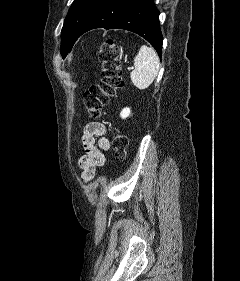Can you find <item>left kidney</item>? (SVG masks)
<instances>
[{
  "label": "left kidney",
  "instance_id": "1",
  "mask_svg": "<svg viewBox=\"0 0 240 281\" xmlns=\"http://www.w3.org/2000/svg\"><path fill=\"white\" fill-rule=\"evenodd\" d=\"M130 114H131L130 109H129V108H124V109L121 111L120 116H121L122 119H125V118H127L128 116H130Z\"/></svg>",
  "mask_w": 240,
  "mask_h": 281
}]
</instances>
